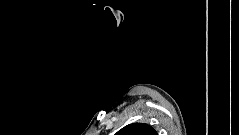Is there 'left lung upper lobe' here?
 Instances as JSON below:
<instances>
[{"instance_id":"1","label":"left lung upper lobe","mask_w":239,"mask_h":135,"mask_svg":"<svg viewBox=\"0 0 239 135\" xmlns=\"http://www.w3.org/2000/svg\"><path fill=\"white\" fill-rule=\"evenodd\" d=\"M115 135H158L148 124L132 123L120 129Z\"/></svg>"}]
</instances>
